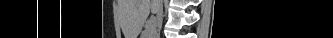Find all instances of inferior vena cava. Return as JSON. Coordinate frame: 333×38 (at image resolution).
<instances>
[{
  "instance_id": "obj_1",
  "label": "inferior vena cava",
  "mask_w": 333,
  "mask_h": 38,
  "mask_svg": "<svg viewBox=\"0 0 333 38\" xmlns=\"http://www.w3.org/2000/svg\"><path fill=\"white\" fill-rule=\"evenodd\" d=\"M162 20H163V0H158V13H157V25L158 26H161Z\"/></svg>"
}]
</instances>
